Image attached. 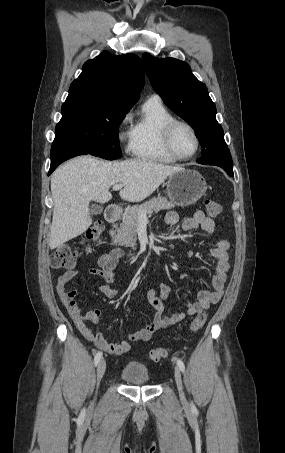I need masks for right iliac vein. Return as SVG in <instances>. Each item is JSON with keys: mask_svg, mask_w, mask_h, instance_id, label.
Segmentation results:
<instances>
[{"mask_svg": "<svg viewBox=\"0 0 285 453\" xmlns=\"http://www.w3.org/2000/svg\"><path fill=\"white\" fill-rule=\"evenodd\" d=\"M105 370H106V362L104 359H102V360H100L98 367H97V375H96L97 386L99 385L101 379L103 378Z\"/></svg>", "mask_w": 285, "mask_h": 453, "instance_id": "63e3f726", "label": "right iliac vein"}]
</instances>
